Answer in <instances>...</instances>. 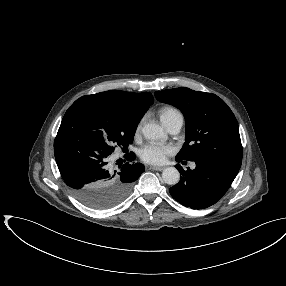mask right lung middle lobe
<instances>
[{"label":"right lung middle lobe","mask_w":286,"mask_h":286,"mask_svg":"<svg viewBox=\"0 0 286 286\" xmlns=\"http://www.w3.org/2000/svg\"><path fill=\"white\" fill-rule=\"evenodd\" d=\"M142 117L107 100L83 96L66 111L62 123L111 155L116 147L132 144Z\"/></svg>","instance_id":"dd1d6c3e"}]
</instances>
